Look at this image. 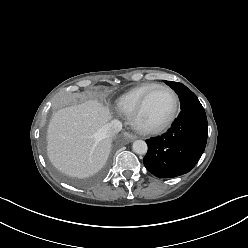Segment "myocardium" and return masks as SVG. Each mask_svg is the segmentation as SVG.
Listing matches in <instances>:
<instances>
[{
  "instance_id": "f54148a6",
  "label": "myocardium",
  "mask_w": 248,
  "mask_h": 248,
  "mask_svg": "<svg viewBox=\"0 0 248 248\" xmlns=\"http://www.w3.org/2000/svg\"><path fill=\"white\" fill-rule=\"evenodd\" d=\"M158 88L165 89L166 91H168L171 94V96L173 98L172 110H171L169 116L160 124L155 125V126L142 125L140 123V116H141V113H142L143 108L145 106V103H146L149 95L152 93V91H154L155 89H158ZM178 107H179V100H178V96L175 93V91L167 85L156 84L153 87H151L148 91H146L144 93V95L141 97L136 108L134 109L133 113L130 116L131 125L133 126V128L136 131H138L141 134H145V135L160 134V133L164 132L165 130H167L173 124V122L177 116Z\"/></svg>"
}]
</instances>
